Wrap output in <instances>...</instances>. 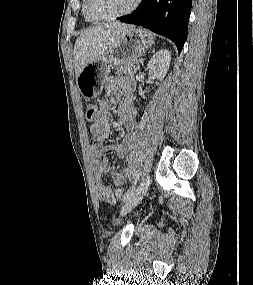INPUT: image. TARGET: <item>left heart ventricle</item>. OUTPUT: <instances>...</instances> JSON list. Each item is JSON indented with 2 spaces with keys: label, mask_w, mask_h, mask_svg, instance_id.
<instances>
[{
  "label": "left heart ventricle",
  "mask_w": 253,
  "mask_h": 285,
  "mask_svg": "<svg viewBox=\"0 0 253 285\" xmlns=\"http://www.w3.org/2000/svg\"><path fill=\"white\" fill-rule=\"evenodd\" d=\"M134 0H90L89 8L96 17H107L128 9Z\"/></svg>",
  "instance_id": "left-heart-ventricle-1"
}]
</instances>
